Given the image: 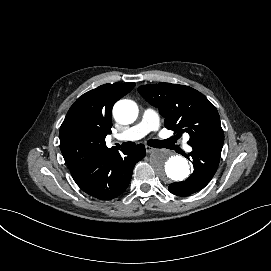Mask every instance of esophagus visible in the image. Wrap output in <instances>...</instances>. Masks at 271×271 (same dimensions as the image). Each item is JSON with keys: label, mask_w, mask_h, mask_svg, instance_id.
I'll use <instances>...</instances> for the list:
<instances>
[{"label": "esophagus", "mask_w": 271, "mask_h": 271, "mask_svg": "<svg viewBox=\"0 0 271 271\" xmlns=\"http://www.w3.org/2000/svg\"><path fill=\"white\" fill-rule=\"evenodd\" d=\"M145 149L147 153H152L157 150L156 148L151 147V146H145Z\"/></svg>", "instance_id": "esophagus-1"}]
</instances>
